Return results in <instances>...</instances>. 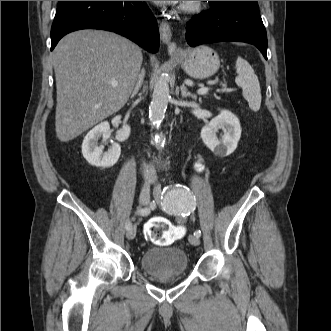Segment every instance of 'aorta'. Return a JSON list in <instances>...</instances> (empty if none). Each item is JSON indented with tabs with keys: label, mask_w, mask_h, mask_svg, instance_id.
<instances>
[{
	"label": "aorta",
	"mask_w": 331,
	"mask_h": 331,
	"mask_svg": "<svg viewBox=\"0 0 331 331\" xmlns=\"http://www.w3.org/2000/svg\"><path fill=\"white\" fill-rule=\"evenodd\" d=\"M169 97L168 76L167 74H162L155 84L152 101L149 106V119L154 127L158 128L164 119ZM156 138L159 140V143L164 142L162 135H157Z\"/></svg>",
	"instance_id": "aorta-1"
}]
</instances>
